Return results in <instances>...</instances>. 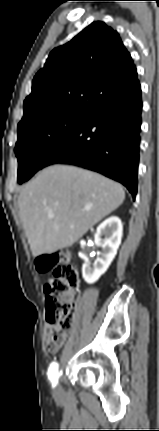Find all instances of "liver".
Instances as JSON below:
<instances>
[{"label":"liver","mask_w":159,"mask_h":431,"mask_svg":"<svg viewBox=\"0 0 159 431\" xmlns=\"http://www.w3.org/2000/svg\"><path fill=\"white\" fill-rule=\"evenodd\" d=\"M124 199L123 187L100 174L68 165L43 169L18 198L33 256L72 246Z\"/></svg>","instance_id":"obj_1"}]
</instances>
